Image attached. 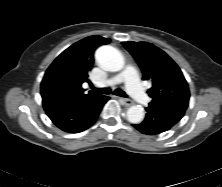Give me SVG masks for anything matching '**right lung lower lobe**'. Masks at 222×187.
<instances>
[{
	"label": "right lung lower lobe",
	"mask_w": 222,
	"mask_h": 187,
	"mask_svg": "<svg viewBox=\"0 0 222 187\" xmlns=\"http://www.w3.org/2000/svg\"><path fill=\"white\" fill-rule=\"evenodd\" d=\"M44 110L61 130L79 133L89 128L98 118L108 96L78 100L48 88L41 92Z\"/></svg>",
	"instance_id": "1"
}]
</instances>
